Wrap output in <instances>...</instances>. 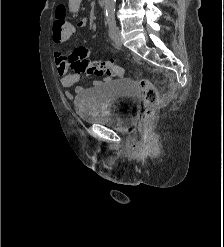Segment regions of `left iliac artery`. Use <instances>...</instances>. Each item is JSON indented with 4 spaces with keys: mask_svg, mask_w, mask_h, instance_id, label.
<instances>
[{
    "mask_svg": "<svg viewBox=\"0 0 224 247\" xmlns=\"http://www.w3.org/2000/svg\"><path fill=\"white\" fill-rule=\"evenodd\" d=\"M108 25H109L110 38L114 39L115 33L117 31L116 20L114 18H109L108 19Z\"/></svg>",
    "mask_w": 224,
    "mask_h": 247,
    "instance_id": "1",
    "label": "left iliac artery"
}]
</instances>
